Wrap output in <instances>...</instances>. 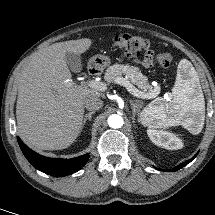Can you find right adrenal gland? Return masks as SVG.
<instances>
[{
    "label": "right adrenal gland",
    "instance_id": "1",
    "mask_svg": "<svg viewBox=\"0 0 215 215\" xmlns=\"http://www.w3.org/2000/svg\"><path fill=\"white\" fill-rule=\"evenodd\" d=\"M94 113H95V112L92 111V112H89V113H87V114L84 115L82 129L84 128V126H85L87 120H88L89 122L91 121V117H92V115H93Z\"/></svg>",
    "mask_w": 215,
    "mask_h": 215
}]
</instances>
